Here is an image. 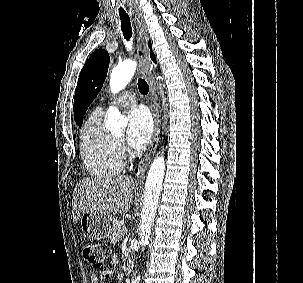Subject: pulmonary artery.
<instances>
[{
    "label": "pulmonary artery",
    "mask_w": 303,
    "mask_h": 283,
    "mask_svg": "<svg viewBox=\"0 0 303 283\" xmlns=\"http://www.w3.org/2000/svg\"><path fill=\"white\" fill-rule=\"evenodd\" d=\"M114 103L119 107L132 106L136 103V97L130 91H124L114 99ZM97 109L102 111L101 107H98Z\"/></svg>",
    "instance_id": "pulmonary-artery-1"
}]
</instances>
